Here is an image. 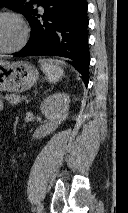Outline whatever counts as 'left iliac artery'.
Returning a JSON list of instances; mask_svg holds the SVG:
<instances>
[{"instance_id":"44dca946","label":"left iliac artery","mask_w":128,"mask_h":213,"mask_svg":"<svg viewBox=\"0 0 128 213\" xmlns=\"http://www.w3.org/2000/svg\"><path fill=\"white\" fill-rule=\"evenodd\" d=\"M37 213H43V205L39 204L37 206Z\"/></svg>"}]
</instances>
